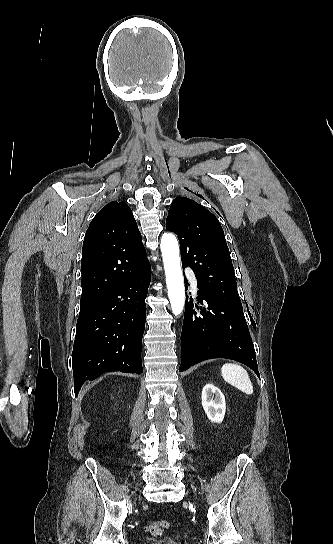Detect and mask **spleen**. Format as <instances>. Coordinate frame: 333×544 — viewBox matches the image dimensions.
I'll use <instances>...</instances> for the list:
<instances>
[{"mask_svg": "<svg viewBox=\"0 0 333 544\" xmlns=\"http://www.w3.org/2000/svg\"><path fill=\"white\" fill-rule=\"evenodd\" d=\"M221 375L225 382L236 387L247 395L253 394V386L247 371L235 363H226L221 368Z\"/></svg>", "mask_w": 333, "mask_h": 544, "instance_id": "1", "label": "spleen"}]
</instances>
